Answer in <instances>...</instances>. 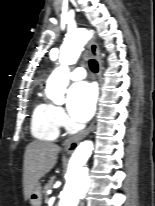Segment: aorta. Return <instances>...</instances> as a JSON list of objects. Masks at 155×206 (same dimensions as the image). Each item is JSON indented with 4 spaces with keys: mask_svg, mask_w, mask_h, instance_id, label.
Masks as SVG:
<instances>
[{
    "mask_svg": "<svg viewBox=\"0 0 155 206\" xmlns=\"http://www.w3.org/2000/svg\"><path fill=\"white\" fill-rule=\"evenodd\" d=\"M91 33L84 29L68 33L61 48L60 66L50 75L46 94L56 104L64 102L65 89L69 83V65L76 63ZM93 142L83 141L72 154L66 174V183L60 195L58 206H78L89 190L90 179L85 167L92 154Z\"/></svg>",
    "mask_w": 155,
    "mask_h": 206,
    "instance_id": "1",
    "label": "aorta"
}]
</instances>
